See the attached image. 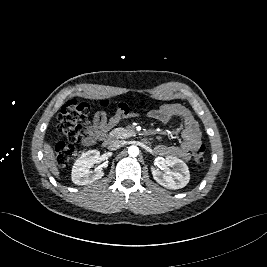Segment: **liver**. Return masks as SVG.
Instances as JSON below:
<instances>
[{
  "label": "liver",
  "instance_id": "liver-1",
  "mask_svg": "<svg viewBox=\"0 0 267 267\" xmlns=\"http://www.w3.org/2000/svg\"><path fill=\"white\" fill-rule=\"evenodd\" d=\"M44 161L46 166L49 168V170L52 172L54 176L59 178V170L56 166V160H55V155L52 147L48 144H44Z\"/></svg>",
  "mask_w": 267,
  "mask_h": 267
}]
</instances>
